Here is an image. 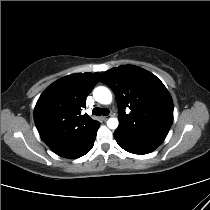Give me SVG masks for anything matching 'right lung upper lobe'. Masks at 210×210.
<instances>
[{
  "label": "right lung upper lobe",
  "instance_id": "cb5924a9",
  "mask_svg": "<svg viewBox=\"0 0 210 210\" xmlns=\"http://www.w3.org/2000/svg\"><path fill=\"white\" fill-rule=\"evenodd\" d=\"M99 76V73L65 76L47 87L39 97L34 122L41 139L57 155L70 151L99 128V122L87 114L80 115Z\"/></svg>",
  "mask_w": 210,
  "mask_h": 210
}]
</instances>
